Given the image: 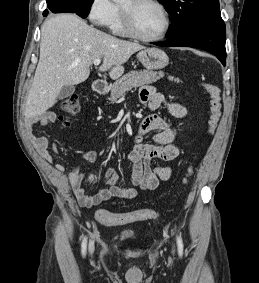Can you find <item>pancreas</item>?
I'll list each match as a JSON object with an SVG mask.
<instances>
[{
	"label": "pancreas",
	"instance_id": "1",
	"mask_svg": "<svg viewBox=\"0 0 259 283\" xmlns=\"http://www.w3.org/2000/svg\"><path fill=\"white\" fill-rule=\"evenodd\" d=\"M163 76V72H155L152 70L130 71L110 87L111 94L109 99L114 102L133 87L151 84L161 79ZM168 79L177 83L180 82L178 78L172 76H169Z\"/></svg>",
	"mask_w": 259,
	"mask_h": 283
}]
</instances>
